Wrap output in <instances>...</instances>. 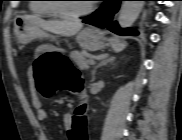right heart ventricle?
Wrapping results in <instances>:
<instances>
[{"instance_id":"obj_1","label":"right heart ventricle","mask_w":182,"mask_h":140,"mask_svg":"<svg viewBox=\"0 0 182 140\" xmlns=\"http://www.w3.org/2000/svg\"><path fill=\"white\" fill-rule=\"evenodd\" d=\"M48 1L51 0H32L29 10L39 16H57L53 4Z\"/></svg>"}]
</instances>
